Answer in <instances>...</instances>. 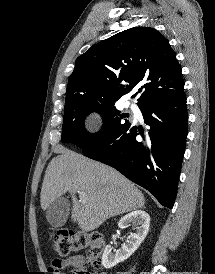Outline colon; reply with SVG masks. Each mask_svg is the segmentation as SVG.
Listing matches in <instances>:
<instances>
[{
	"label": "colon",
	"instance_id": "5ec220e1",
	"mask_svg": "<svg viewBox=\"0 0 215 274\" xmlns=\"http://www.w3.org/2000/svg\"><path fill=\"white\" fill-rule=\"evenodd\" d=\"M56 252L60 256L86 251L87 262L94 269L102 266V254L105 247L104 236L96 231L58 230L52 233ZM83 274H96L88 271Z\"/></svg>",
	"mask_w": 215,
	"mask_h": 274
}]
</instances>
